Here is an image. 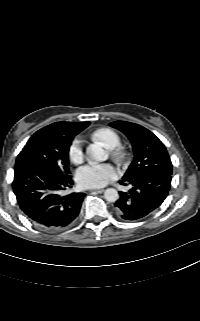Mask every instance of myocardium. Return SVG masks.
<instances>
[{"instance_id": "f54148a6", "label": "myocardium", "mask_w": 200, "mask_h": 321, "mask_svg": "<svg viewBox=\"0 0 200 321\" xmlns=\"http://www.w3.org/2000/svg\"><path fill=\"white\" fill-rule=\"evenodd\" d=\"M111 155L117 162L123 163L128 156V152L124 146L118 145L113 148Z\"/></svg>"}]
</instances>
